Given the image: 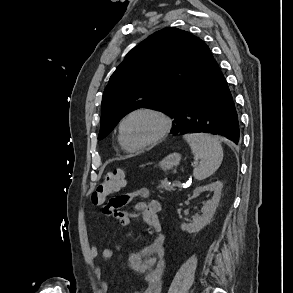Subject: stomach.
I'll return each instance as SVG.
<instances>
[{
    "instance_id": "0dacf381",
    "label": "stomach",
    "mask_w": 293,
    "mask_h": 293,
    "mask_svg": "<svg viewBox=\"0 0 293 293\" xmlns=\"http://www.w3.org/2000/svg\"><path fill=\"white\" fill-rule=\"evenodd\" d=\"M181 155L179 153H171L159 162V167L164 170H170L180 163Z\"/></svg>"
}]
</instances>
